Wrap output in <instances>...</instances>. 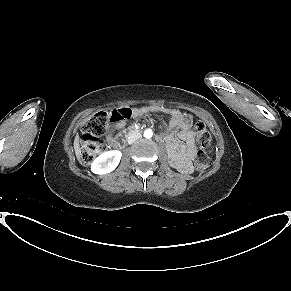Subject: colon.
Masks as SVG:
<instances>
[{
    "label": "colon",
    "instance_id": "obj_1",
    "mask_svg": "<svg viewBox=\"0 0 291 291\" xmlns=\"http://www.w3.org/2000/svg\"><path fill=\"white\" fill-rule=\"evenodd\" d=\"M132 110L122 108L113 111H102L94 114L82 128L80 161L84 165H89L97 155L105 150V145L100 137L105 133L108 123L122 119H129ZM195 132L197 133V144L199 151L194 161V167L197 171H203L210 165L209 152L212 148L211 134L207 131L204 122L194 121L189 114L184 115Z\"/></svg>",
    "mask_w": 291,
    "mask_h": 291
}]
</instances>
